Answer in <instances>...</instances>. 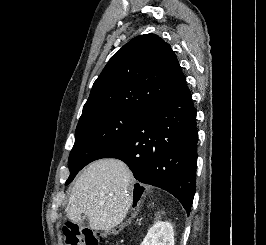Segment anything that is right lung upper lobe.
<instances>
[{
    "mask_svg": "<svg viewBox=\"0 0 266 245\" xmlns=\"http://www.w3.org/2000/svg\"><path fill=\"white\" fill-rule=\"evenodd\" d=\"M185 85L170 45L155 34L140 35L109 60L93 84L81 117L107 109L145 113Z\"/></svg>",
    "mask_w": 266,
    "mask_h": 245,
    "instance_id": "obj_1",
    "label": "right lung upper lobe"
}]
</instances>
